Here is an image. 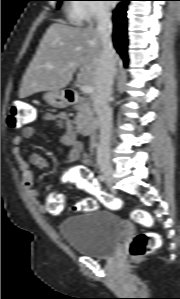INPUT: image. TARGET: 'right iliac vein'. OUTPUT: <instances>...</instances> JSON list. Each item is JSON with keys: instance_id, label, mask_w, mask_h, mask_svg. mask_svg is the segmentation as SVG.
Wrapping results in <instances>:
<instances>
[{"instance_id": "right-iliac-vein-1", "label": "right iliac vein", "mask_w": 180, "mask_h": 299, "mask_svg": "<svg viewBox=\"0 0 180 299\" xmlns=\"http://www.w3.org/2000/svg\"><path fill=\"white\" fill-rule=\"evenodd\" d=\"M99 168L106 178V181L111 184L113 181V169L111 164L106 159H100Z\"/></svg>"}]
</instances>
